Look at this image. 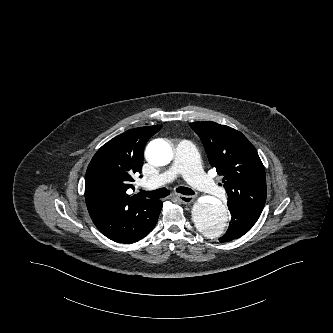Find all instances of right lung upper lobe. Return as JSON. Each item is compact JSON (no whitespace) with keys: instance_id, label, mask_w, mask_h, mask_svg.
<instances>
[{"instance_id":"right-lung-upper-lobe-1","label":"right lung upper lobe","mask_w":333,"mask_h":333,"mask_svg":"<svg viewBox=\"0 0 333 333\" xmlns=\"http://www.w3.org/2000/svg\"><path fill=\"white\" fill-rule=\"evenodd\" d=\"M162 126L130 129L104 144L85 176V200L92 221L108 238L120 234L139 210L155 200L130 197L133 176L141 171L143 150Z\"/></svg>"}]
</instances>
